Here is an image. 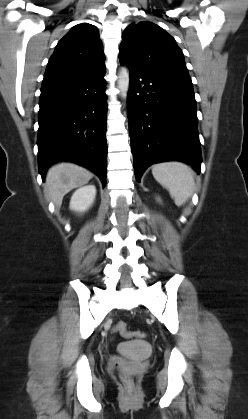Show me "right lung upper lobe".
<instances>
[{
	"label": "right lung upper lobe",
	"mask_w": 248,
	"mask_h": 419,
	"mask_svg": "<svg viewBox=\"0 0 248 419\" xmlns=\"http://www.w3.org/2000/svg\"><path fill=\"white\" fill-rule=\"evenodd\" d=\"M103 45L97 28L88 23L74 26L57 44L42 86L89 77L105 68Z\"/></svg>",
	"instance_id": "1"
}]
</instances>
